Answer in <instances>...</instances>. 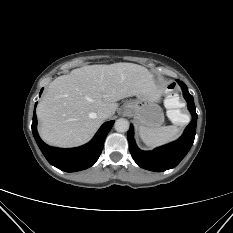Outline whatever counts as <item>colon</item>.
Listing matches in <instances>:
<instances>
[{"mask_svg": "<svg viewBox=\"0 0 233 233\" xmlns=\"http://www.w3.org/2000/svg\"><path fill=\"white\" fill-rule=\"evenodd\" d=\"M165 106L169 118L176 124H183L186 122L187 115L183 111L179 96L175 92V85L171 84L167 89L165 97Z\"/></svg>", "mask_w": 233, "mask_h": 233, "instance_id": "colon-1", "label": "colon"}]
</instances>
